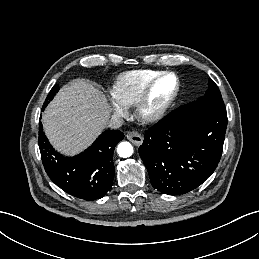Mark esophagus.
Returning <instances> with one entry per match:
<instances>
[{
	"instance_id": "esophagus-1",
	"label": "esophagus",
	"mask_w": 259,
	"mask_h": 259,
	"mask_svg": "<svg viewBox=\"0 0 259 259\" xmlns=\"http://www.w3.org/2000/svg\"><path fill=\"white\" fill-rule=\"evenodd\" d=\"M127 138L136 146H140L143 142V137L137 131H131L127 134Z\"/></svg>"
}]
</instances>
